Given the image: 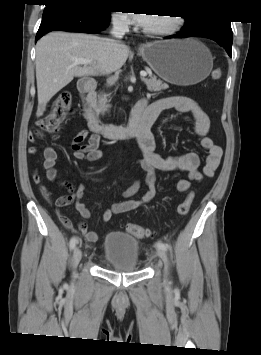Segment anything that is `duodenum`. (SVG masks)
Here are the masks:
<instances>
[{"label": "duodenum", "instance_id": "410a0bca", "mask_svg": "<svg viewBox=\"0 0 261 355\" xmlns=\"http://www.w3.org/2000/svg\"><path fill=\"white\" fill-rule=\"evenodd\" d=\"M97 87V82L88 79L82 80L78 86L82 98L83 116L92 132L99 133L110 139H115L133 137L139 132L151 128L152 122L144 117L143 107L140 103V101L144 99L136 104L131 120L127 125L103 123L98 118L94 109L95 91Z\"/></svg>", "mask_w": 261, "mask_h": 355}]
</instances>
